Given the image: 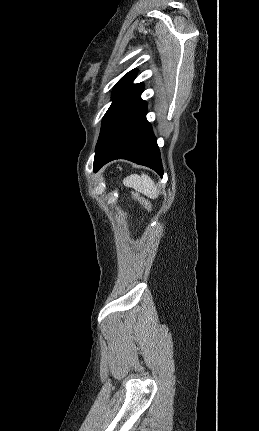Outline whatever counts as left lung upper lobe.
Listing matches in <instances>:
<instances>
[{
  "mask_svg": "<svg viewBox=\"0 0 259 431\" xmlns=\"http://www.w3.org/2000/svg\"><path fill=\"white\" fill-rule=\"evenodd\" d=\"M136 69L125 74L114 86L112 104L105 113L95 152L105 142L115 127L144 101L141 99L143 83L133 84Z\"/></svg>",
  "mask_w": 259,
  "mask_h": 431,
  "instance_id": "1",
  "label": "left lung upper lobe"
}]
</instances>
